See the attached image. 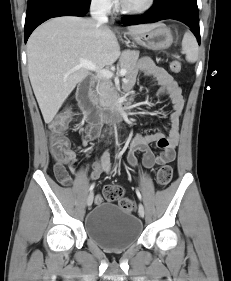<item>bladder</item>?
I'll use <instances>...</instances> for the list:
<instances>
[{
	"label": "bladder",
	"mask_w": 231,
	"mask_h": 281,
	"mask_svg": "<svg viewBox=\"0 0 231 281\" xmlns=\"http://www.w3.org/2000/svg\"><path fill=\"white\" fill-rule=\"evenodd\" d=\"M85 232L89 239L112 252L124 251L137 243L143 226L133 214L113 203H100L86 216Z\"/></svg>",
	"instance_id": "obj_1"
}]
</instances>
